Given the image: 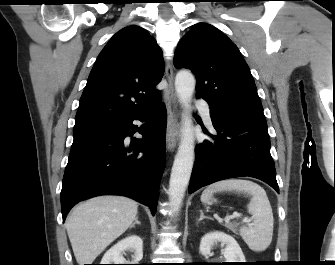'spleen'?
<instances>
[{
    "mask_svg": "<svg viewBox=\"0 0 335 265\" xmlns=\"http://www.w3.org/2000/svg\"><path fill=\"white\" fill-rule=\"evenodd\" d=\"M236 191L251 196L248 212L252 215L253 224L242 226L240 235L248 247L261 252L271 244L273 236V212L265 190L258 184L243 179H228L208 186L201 195V201L208 203L216 192Z\"/></svg>",
    "mask_w": 335,
    "mask_h": 265,
    "instance_id": "obj_1",
    "label": "spleen"
}]
</instances>
